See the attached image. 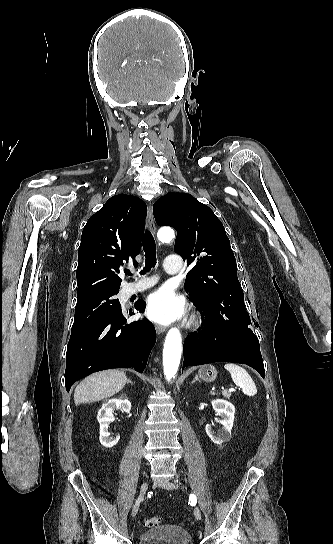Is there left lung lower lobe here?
<instances>
[{
  "label": "left lung lower lobe",
  "mask_w": 333,
  "mask_h": 544,
  "mask_svg": "<svg viewBox=\"0 0 333 544\" xmlns=\"http://www.w3.org/2000/svg\"><path fill=\"white\" fill-rule=\"evenodd\" d=\"M205 318L202 330L184 342L183 368L217 361L236 362L253 367L264 378L259 342L253 332L238 323L207 315Z\"/></svg>",
  "instance_id": "left-lung-lower-lobe-1"
}]
</instances>
